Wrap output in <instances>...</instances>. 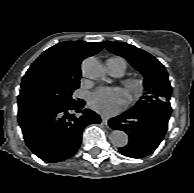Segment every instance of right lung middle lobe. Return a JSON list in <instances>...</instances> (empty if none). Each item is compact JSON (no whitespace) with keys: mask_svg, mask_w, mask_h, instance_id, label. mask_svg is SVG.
<instances>
[{"mask_svg":"<svg viewBox=\"0 0 194 193\" xmlns=\"http://www.w3.org/2000/svg\"><path fill=\"white\" fill-rule=\"evenodd\" d=\"M80 78L73 79L65 76L39 75L31 80L29 87L19 94L18 106L36 107H70L77 104L73 92L79 88Z\"/></svg>","mask_w":194,"mask_h":193,"instance_id":"right-lung-middle-lobe-1","label":"right lung middle lobe"}]
</instances>
